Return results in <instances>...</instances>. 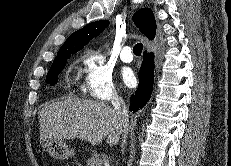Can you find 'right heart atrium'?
Returning <instances> with one entry per match:
<instances>
[{
  "mask_svg": "<svg viewBox=\"0 0 231 166\" xmlns=\"http://www.w3.org/2000/svg\"><path fill=\"white\" fill-rule=\"evenodd\" d=\"M84 91L95 100L116 99L119 94L113 81L112 72L103 57L87 51L83 55Z\"/></svg>",
  "mask_w": 231,
  "mask_h": 166,
  "instance_id": "1",
  "label": "right heart atrium"
}]
</instances>
